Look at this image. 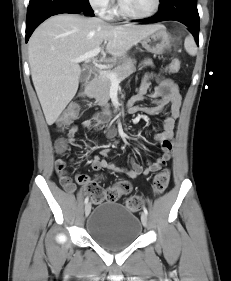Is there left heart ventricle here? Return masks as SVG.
Here are the masks:
<instances>
[{
  "label": "left heart ventricle",
  "instance_id": "left-heart-ventricle-1",
  "mask_svg": "<svg viewBox=\"0 0 231 281\" xmlns=\"http://www.w3.org/2000/svg\"><path fill=\"white\" fill-rule=\"evenodd\" d=\"M122 1L126 9L136 14H145L150 12L155 4V0H122Z\"/></svg>",
  "mask_w": 231,
  "mask_h": 281
}]
</instances>
